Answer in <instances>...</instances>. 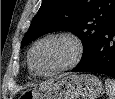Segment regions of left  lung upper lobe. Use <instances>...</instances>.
<instances>
[{"label": "left lung upper lobe", "instance_id": "left-lung-upper-lobe-1", "mask_svg": "<svg viewBox=\"0 0 115 99\" xmlns=\"http://www.w3.org/2000/svg\"><path fill=\"white\" fill-rule=\"evenodd\" d=\"M115 19V0H43L21 48L43 34L70 31L83 43L86 58Z\"/></svg>", "mask_w": 115, "mask_h": 99}]
</instances>
